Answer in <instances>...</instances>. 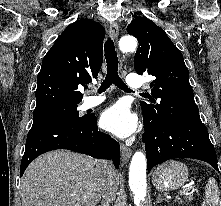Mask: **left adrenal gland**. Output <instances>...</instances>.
Instances as JSON below:
<instances>
[{
	"label": "left adrenal gland",
	"instance_id": "left-adrenal-gland-1",
	"mask_svg": "<svg viewBox=\"0 0 221 206\" xmlns=\"http://www.w3.org/2000/svg\"><path fill=\"white\" fill-rule=\"evenodd\" d=\"M164 199L162 198L161 194H158L157 203H161Z\"/></svg>",
	"mask_w": 221,
	"mask_h": 206
}]
</instances>
